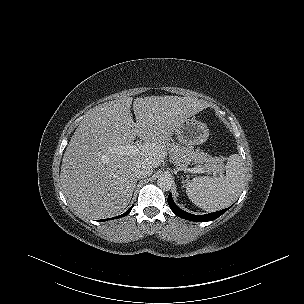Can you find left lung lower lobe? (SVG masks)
<instances>
[{
  "label": "left lung lower lobe",
  "mask_w": 304,
  "mask_h": 304,
  "mask_svg": "<svg viewBox=\"0 0 304 304\" xmlns=\"http://www.w3.org/2000/svg\"><path fill=\"white\" fill-rule=\"evenodd\" d=\"M168 204L171 208V210L179 217L187 219V220H191V221H197V222H206V221H212L215 220L216 218H218L219 216H221L223 213H225L229 208L217 211V212H213L210 214H205V215H194V214H190L187 213L183 210H181L173 201L172 199V194L170 193L168 196Z\"/></svg>",
  "instance_id": "obj_1"
}]
</instances>
